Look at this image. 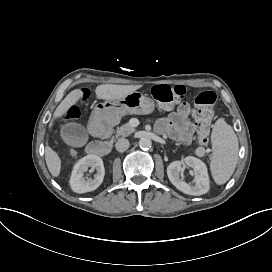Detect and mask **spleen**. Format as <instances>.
Listing matches in <instances>:
<instances>
[{
  "instance_id": "3e777b00",
  "label": "spleen",
  "mask_w": 272,
  "mask_h": 272,
  "mask_svg": "<svg viewBox=\"0 0 272 272\" xmlns=\"http://www.w3.org/2000/svg\"><path fill=\"white\" fill-rule=\"evenodd\" d=\"M210 142V172L215 183L222 185L235 171L239 152L238 138L225 119L219 118L213 126Z\"/></svg>"
}]
</instances>
